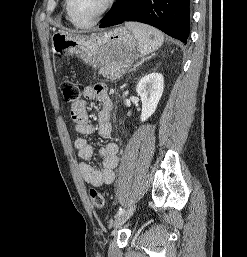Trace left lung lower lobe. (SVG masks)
<instances>
[{"instance_id": "0a47b994", "label": "left lung lower lobe", "mask_w": 247, "mask_h": 257, "mask_svg": "<svg viewBox=\"0 0 247 257\" xmlns=\"http://www.w3.org/2000/svg\"><path fill=\"white\" fill-rule=\"evenodd\" d=\"M124 21L152 25L186 44L190 30L189 0H117L99 27Z\"/></svg>"}]
</instances>
